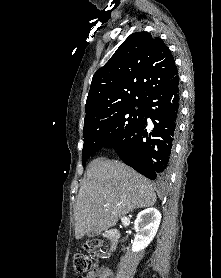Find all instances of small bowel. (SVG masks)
<instances>
[{"instance_id": "obj_1", "label": "small bowel", "mask_w": 221, "mask_h": 278, "mask_svg": "<svg viewBox=\"0 0 221 278\" xmlns=\"http://www.w3.org/2000/svg\"><path fill=\"white\" fill-rule=\"evenodd\" d=\"M84 278H113V272L104 267H97L94 271Z\"/></svg>"}]
</instances>
